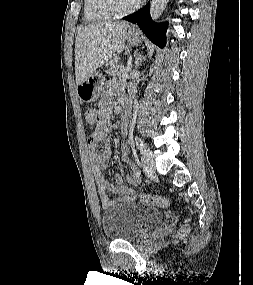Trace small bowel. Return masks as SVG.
<instances>
[{"label": "small bowel", "instance_id": "small-bowel-1", "mask_svg": "<svg viewBox=\"0 0 253 285\" xmlns=\"http://www.w3.org/2000/svg\"><path fill=\"white\" fill-rule=\"evenodd\" d=\"M126 88L123 84L117 81L108 82L101 91V99L96 110L97 128L88 139L89 157L92 165L94 179L97 185L101 204L104 209H107L119 202L130 201L134 198V191L131 185L139 183V171L135 166H131L132 174L126 176L125 183L120 174L117 175L116 183L108 182L103 172L107 169L111 151L106 146L101 152H98L97 147L101 141L107 142L110 136V117L113 109V99L120 97L122 101L128 100L126 96ZM122 157L125 160L129 152V146L126 142L121 144ZM110 194L113 195L110 196Z\"/></svg>", "mask_w": 253, "mask_h": 285}]
</instances>
